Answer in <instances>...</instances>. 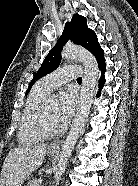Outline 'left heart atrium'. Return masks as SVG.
Returning a JSON list of instances; mask_svg holds the SVG:
<instances>
[{"mask_svg":"<svg viewBox=\"0 0 138 186\" xmlns=\"http://www.w3.org/2000/svg\"><path fill=\"white\" fill-rule=\"evenodd\" d=\"M75 106V97L72 92L62 93L57 104V114L62 126H65L73 115Z\"/></svg>","mask_w":138,"mask_h":186,"instance_id":"left-heart-atrium-1","label":"left heart atrium"}]
</instances>
